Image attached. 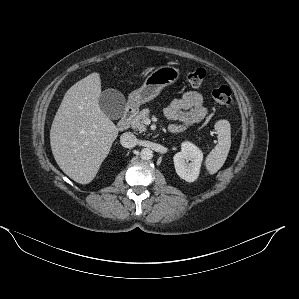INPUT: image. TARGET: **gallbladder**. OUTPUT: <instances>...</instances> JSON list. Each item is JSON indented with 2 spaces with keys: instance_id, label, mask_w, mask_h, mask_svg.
<instances>
[{
  "instance_id": "gallbladder-1",
  "label": "gallbladder",
  "mask_w": 299,
  "mask_h": 299,
  "mask_svg": "<svg viewBox=\"0 0 299 299\" xmlns=\"http://www.w3.org/2000/svg\"><path fill=\"white\" fill-rule=\"evenodd\" d=\"M99 106L110 119L117 120L124 114L126 100L120 91L108 88L100 94Z\"/></svg>"
}]
</instances>
